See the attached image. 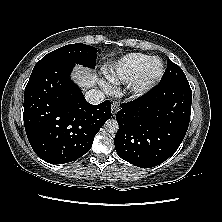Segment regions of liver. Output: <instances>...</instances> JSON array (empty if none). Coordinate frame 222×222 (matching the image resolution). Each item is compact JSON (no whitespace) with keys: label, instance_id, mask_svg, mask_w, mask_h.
Segmentation results:
<instances>
[{"label":"liver","instance_id":"1","mask_svg":"<svg viewBox=\"0 0 222 222\" xmlns=\"http://www.w3.org/2000/svg\"><path fill=\"white\" fill-rule=\"evenodd\" d=\"M71 78L83 89H89L96 83V75L92 74L87 68L78 65L74 67Z\"/></svg>","mask_w":222,"mask_h":222}]
</instances>
